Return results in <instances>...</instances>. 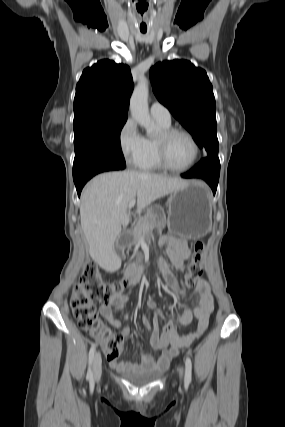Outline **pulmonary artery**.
<instances>
[{"label":"pulmonary artery","mask_w":285,"mask_h":427,"mask_svg":"<svg viewBox=\"0 0 285 427\" xmlns=\"http://www.w3.org/2000/svg\"><path fill=\"white\" fill-rule=\"evenodd\" d=\"M152 117L163 123H171V114L169 110L159 102H153L150 107Z\"/></svg>","instance_id":"1"}]
</instances>
